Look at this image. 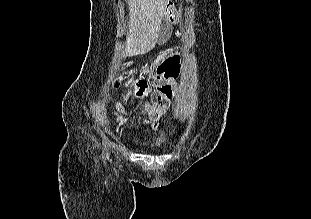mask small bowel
Instances as JSON below:
<instances>
[{
	"label": "small bowel",
	"instance_id": "obj_1",
	"mask_svg": "<svg viewBox=\"0 0 311 219\" xmlns=\"http://www.w3.org/2000/svg\"><path fill=\"white\" fill-rule=\"evenodd\" d=\"M171 52L165 53L162 56H160L159 58L155 59L153 62H151L150 64L146 65L144 67V72H150L151 70H153L156 66H159V64L166 59V55L169 54ZM118 123L120 126H124L126 124V117L128 115H130V112L123 108L122 106H120L118 108V110L115 112ZM153 129L157 130L159 127L157 124H153L151 125Z\"/></svg>",
	"mask_w": 311,
	"mask_h": 219
}]
</instances>
